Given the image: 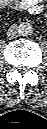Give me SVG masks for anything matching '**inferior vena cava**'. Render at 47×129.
<instances>
[{
  "label": "inferior vena cava",
  "instance_id": "inferior-vena-cava-1",
  "mask_svg": "<svg viewBox=\"0 0 47 129\" xmlns=\"http://www.w3.org/2000/svg\"><path fill=\"white\" fill-rule=\"evenodd\" d=\"M18 36V29L17 27H11L8 31V38L9 39H14Z\"/></svg>",
  "mask_w": 47,
  "mask_h": 129
}]
</instances>
